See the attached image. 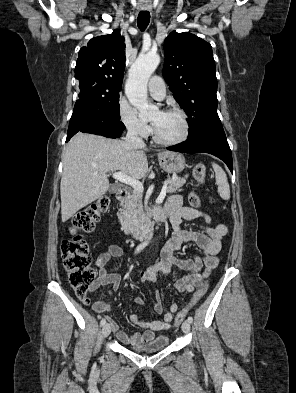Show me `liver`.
Returning <instances> with one entry per match:
<instances>
[{
	"label": "liver",
	"mask_w": 296,
	"mask_h": 393,
	"mask_svg": "<svg viewBox=\"0 0 296 393\" xmlns=\"http://www.w3.org/2000/svg\"><path fill=\"white\" fill-rule=\"evenodd\" d=\"M124 143L81 132L69 141L63 154L60 183L62 222L109 190L107 173L119 170L134 179L146 176L148 149H128Z\"/></svg>",
	"instance_id": "liver-1"
}]
</instances>
